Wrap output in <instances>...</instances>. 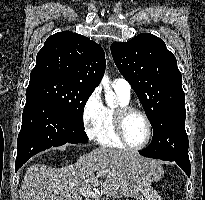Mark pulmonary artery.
<instances>
[{
	"label": "pulmonary artery",
	"mask_w": 205,
	"mask_h": 200,
	"mask_svg": "<svg viewBox=\"0 0 205 200\" xmlns=\"http://www.w3.org/2000/svg\"><path fill=\"white\" fill-rule=\"evenodd\" d=\"M113 89L124 97L130 98L131 86L124 78H116L112 82Z\"/></svg>",
	"instance_id": "1"
}]
</instances>
